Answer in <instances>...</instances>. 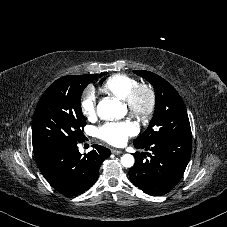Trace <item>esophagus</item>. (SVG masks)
Returning <instances> with one entry per match:
<instances>
[{
	"instance_id": "obj_1",
	"label": "esophagus",
	"mask_w": 227,
	"mask_h": 227,
	"mask_svg": "<svg viewBox=\"0 0 227 227\" xmlns=\"http://www.w3.org/2000/svg\"><path fill=\"white\" fill-rule=\"evenodd\" d=\"M111 151H112V153H114V154H122V151H121V150L112 149Z\"/></svg>"
}]
</instances>
